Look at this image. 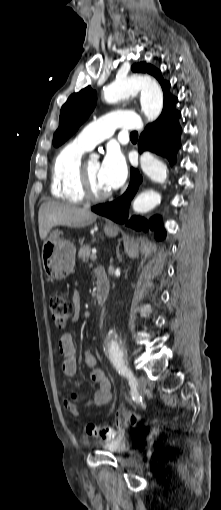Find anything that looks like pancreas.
Listing matches in <instances>:
<instances>
[{
    "instance_id": "cf45deb5",
    "label": "pancreas",
    "mask_w": 221,
    "mask_h": 510,
    "mask_svg": "<svg viewBox=\"0 0 221 510\" xmlns=\"http://www.w3.org/2000/svg\"><path fill=\"white\" fill-rule=\"evenodd\" d=\"M90 253H91L90 245H84L83 247L80 248L78 252V257L83 261H87L90 257Z\"/></svg>"
}]
</instances>
